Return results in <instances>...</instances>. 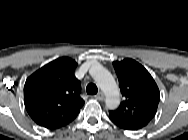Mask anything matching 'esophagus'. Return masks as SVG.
Masks as SVG:
<instances>
[{
  "label": "esophagus",
  "mask_w": 188,
  "mask_h": 140,
  "mask_svg": "<svg viewBox=\"0 0 188 140\" xmlns=\"http://www.w3.org/2000/svg\"><path fill=\"white\" fill-rule=\"evenodd\" d=\"M95 99L102 101L104 99V95L100 92L94 96Z\"/></svg>",
  "instance_id": "1"
}]
</instances>
